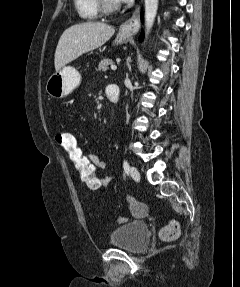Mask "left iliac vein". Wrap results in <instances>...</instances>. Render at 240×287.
Masks as SVG:
<instances>
[{"label":"left iliac vein","instance_id":"obj_1","mask_svg":"<svg viewBox=\"0 0 240 287\" xmlns=\"http://www.w3.org/2000/svg\"><path fill=\"white\" fill-rule=\"evenodd\" d=\"M130 175L134 180H139L140 179V174L139 171L137 170L136 167H131L130 168Z\"/></svg>","mask_w":240,"mask_h":287}]
</instances>
